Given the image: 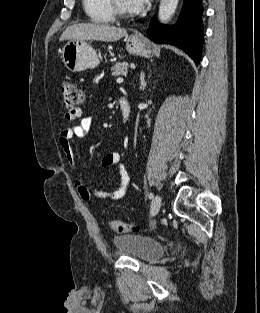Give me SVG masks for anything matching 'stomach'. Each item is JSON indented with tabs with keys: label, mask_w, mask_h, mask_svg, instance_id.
Wrapping results in <instances>:
<instances>
[{
	"label": "stomach",
	"mask_w": 260,
	"mask_h": 313,
	"mask_svg": "<svg viewBox=\"0 0 260 313\" xmlns=\"http://www.w3.org/2000/svg\"><path fill=\"white\" fill-rule=\"evenodd\" d=\"M126 49L132 54L150 58L155 54V47L145 38L131 35L127 38ZM62 61L71 72L94 69L99 57L93 47L86 41L70 40L62 48Z\"/></svg>",
	"instance_id": "obj_1"
}]
</instances>
